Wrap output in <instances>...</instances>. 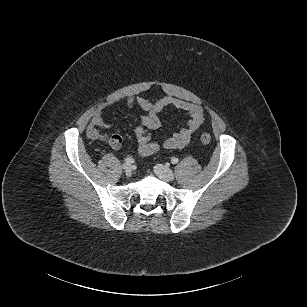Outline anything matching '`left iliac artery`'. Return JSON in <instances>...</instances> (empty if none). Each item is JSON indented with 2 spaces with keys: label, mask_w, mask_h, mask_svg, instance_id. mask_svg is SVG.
<instances>
[{
  "label": "left iliac artery",
  "mask_w": 307,
  "mask_h": 307,
  "mask_svg": "<svg viewBox=\"0 0 307 307\" xmlns=\"http://www.w3.org/2000/svg\"><path fill=\"white\" fill-rule=\"evenodd\" d=\"M178 158H176V157H173L172 159H171V163L172 164H177L178 163Z\"/></svg>",
  "instance_id": "left-iliac-artery-1"
}]
</instances>
